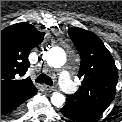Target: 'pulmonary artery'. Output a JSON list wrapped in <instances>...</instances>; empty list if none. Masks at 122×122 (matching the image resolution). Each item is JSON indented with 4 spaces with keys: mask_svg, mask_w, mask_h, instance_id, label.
Returning a JSON list of instances; mask_svg holds the SVG:
<instances>
[{
    "mask_svg": "<svg viewBox=\"0 0 122 122\" xmlns=\"http://www.w3.org/2000/svg\"><path fill=\"white\" fill-rule=\"evenodd\" d=\"M59 84L63 91H65L66 93H72L74 91V84L71 81L69 73L66 70L60 72Z\"/></svg>",
    "mask_w": 122,
    "mask_h": 122,
    "instance_id": "obj_1",
    "label": "pulmonary artery"
}]
</instances>
